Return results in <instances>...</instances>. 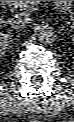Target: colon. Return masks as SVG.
Here are the masks:
<instances>
[{
    "mask_svg": "<svg viewBox=\"0 0 74 122\" xmlns=\"http://www.w3.org/2000/svg\"><path fill=\"white\" fill-rule=\"evenodd\" d=\"M62 6H65L67 4L68 1H60Z\"/></svg>",
    "mask_w": 74,
    "mask_h": 122,
    "instance_id": "5ec220e1",
    "label": "colon"
}]
</instances>
